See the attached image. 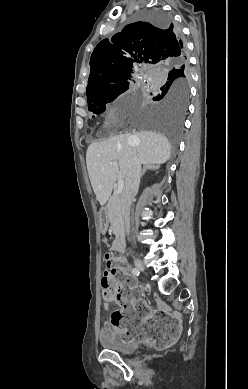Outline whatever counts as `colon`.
Masks as SVG:
<instances>
[{
  "label": "colon",
  "mask_w": 248,
  "mask_h": 389,
  "mask_svg": "<svg viewBox=\"0 0 248 389\" xmlns=\"http://www.w3.org/2000/svg\"><path fill=\"white\" fill-rule=\"evenodd\" d=\"M106 266L101 289L104 298L119 302L121 309L111 314V324L121 331L123 343L152 342L155 350H166L167 344H175L181 328L179 320L171 311H152L150 315V306L142 301L137 279L126 272L120 258L108 254Z\"/></svg>",
  "instance_id": "1"
}]
</instances>
